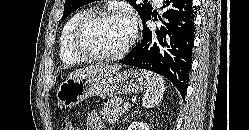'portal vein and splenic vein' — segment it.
<instances>
[{
	"mask_svg": "<svg viewBox=\"0 0 249 130\" xmlns=\"http://www.w3.org/2000/svg\"><path fill=\"white\" fill-rule=\"evenodd\" d=\"M123 108L124 109H129L130 108V104L129 103H124L123 104Z\"/></svg>",
	"mask_w": 249,
	"mask_h": 130,
	"instance_id": "1",
	"label": "portal vein and splenic vein"
}]
</instances>
